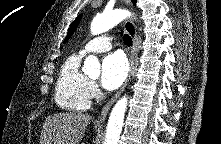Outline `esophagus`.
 I'll return each mask as SVG.
<instances>
[{
    "label": "esophagus",
    "instance_id": "esophagus-1",
    "mask_svg": "<svg viewBox=\"0 0 221 144\" xmlns=\"http://www.w3.org/2000/svg\"><path fill=\"white\" fill-rule=\"evenodd\" d=\"M125 4L127 6L131 5V1L130 0H124ZM124 27L126 29V31L128 32V34L130 35V37L132 38V47H131V53H130V57H129V62H130V70H129V74L125 80V82L123 83L122 87L119 89V91L106 103V105L103 107L97 122L102 123L106 116L108 111L110 110V108L112 107V105L114 104V102L119 98V96L121 95V93L123 92V90L125 89V87L127 86L133 69H134V61H135V57H136V52H137V34H136V28L134 23L132 22L131 19H127L124 22Z\"/></svg>",
    "mask_w": 221,
    "mask_h": 144
}]
</instances>
